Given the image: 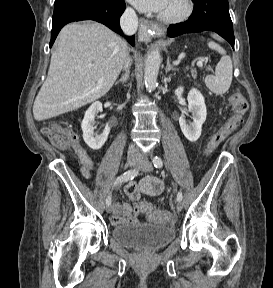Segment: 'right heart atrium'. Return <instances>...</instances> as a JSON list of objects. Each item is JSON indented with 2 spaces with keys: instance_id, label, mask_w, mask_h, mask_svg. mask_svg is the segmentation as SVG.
Masks as SVG:
<instances>
[{
  "instance_id": "1",
  "label": "right heart atrium",
  "mask_w": 273,
  "mask_h": 288,
  "mask_svg": "<svg viewBox=\"0 0 273 288\" xmlns=\"http://www.w3.org/2000/svg\"><path fill=\"white\" fill-rule=\"evenodd\" d=\"M129 10V12H132V10L131 9H128Z\"/></svg>"
}]
</instances>
